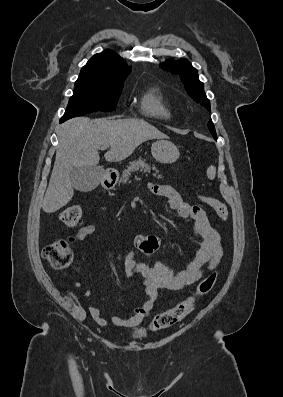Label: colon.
<instances>
[{
	"label": "colon",
	"instance_id": "1",
	"mask_svg": "<svg viewBox=\"0 0 283 397\" xmlns=\"http://www.w3.org/2000/svg\"><path fill=\"white\" fill-rule=\"evenodd\" d=\"M199 199L210 206L222 220L228 218L226 205L220 200L198 195ZM82 218V208L79 205H71L65 208L60 214V220L68 227L77 226ZM71 239H60L46 245L42 250L43 258L55 269H64L72 261L73 253ZM219 274L215 271L207 275L197 286L194 293L179 302L174 307L156 315L150 323L152 331H158L171 327L181 321L193 309L195 302L202 296L209 293L217 283Z\"/></svg>",
	"mask_w": 283,
	"mask_h": 397
}]
</instances>
